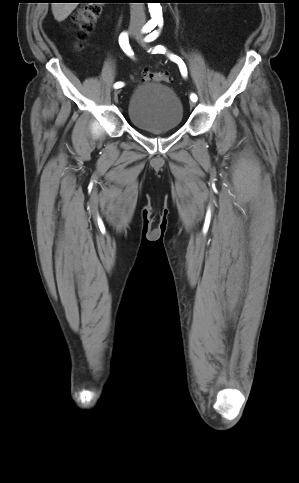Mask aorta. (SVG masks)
Instances as JSON below:
<instances>
[{"label": "aorta", "instance_id": "obj_1", "mask_svg": "<svg viewBox=\"0 0 299 483\" xmlns=\"http://www.w3.org/2000/svg\"><path fill=\"white\" fill-rule=\"evenodd\" d=\"M148 8L153 21L162 20V7L160 3H148Z\"/></svg>", "mask_w": 299, "mask_h": 483}]
</instances>
